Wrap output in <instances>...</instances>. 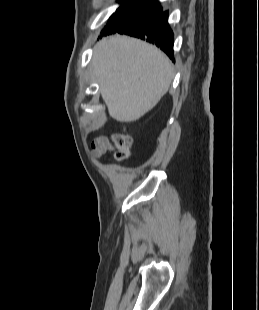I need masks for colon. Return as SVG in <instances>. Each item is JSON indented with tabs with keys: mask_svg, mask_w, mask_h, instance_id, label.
<instances>
[{
	"mask_svg": "<svg viewBox=\"0 0 259 310\" xmlns=\"http://www.w3.org/2000/svg\"><path fill=\"white\" fill-rule=\"evenodd\" d=\"M115 142L118 147L117 152V160L123 161L128 158L129 156V148L131 146V138L127 135L118 134L115 137Z\"/></svg>",
	"mask_w": 259,
	"mask_h": 310,
	"instance_id": "colon-1",
	"label": "colon"
}]
</instances>
